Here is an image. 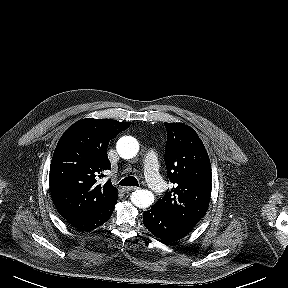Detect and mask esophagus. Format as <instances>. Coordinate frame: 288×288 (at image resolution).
I'll return each mask as SVG.
<instances>
[{"label": "esophagus", "mask_w": 288, "mask_h": 288, "mask_svg": "<svg viewBox=\"0 0 288 288\" xmlns=\"http://www.w3.org/2000/svg\"><path fill=\"white\" fill-rule=\"evenodd\" d=\"M138 188L137 187H124L123 190L126 191V192H131V191H134V190H137Z\"/></svg>", "instance_id": "esophagus-1"}]
</instances>
